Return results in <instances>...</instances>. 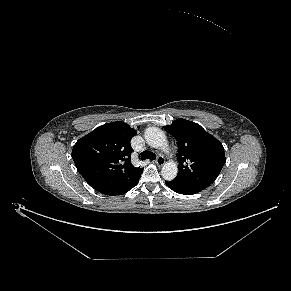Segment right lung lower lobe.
<instances>
[{"label":"right lung lower lobe","mask_w":291,"mask_h":291,"mask_svg":"<svg viewBox=\"0 0 291 291\" xmlns=\"http://www.w3.org/2000/svg\"><path fill=\"white\" fill-rule=\"evenodd\" d=\"M140 176H141V174L131 184H129L128 186H126L124 189H122V190H120L118 192H115V193L108 194V195L112 196V195H122V194H125L126 192H128L130 189H132L134 186L137 185V183L139 182Z\"/></svg>","instance_id":"1"}]
</instances>
